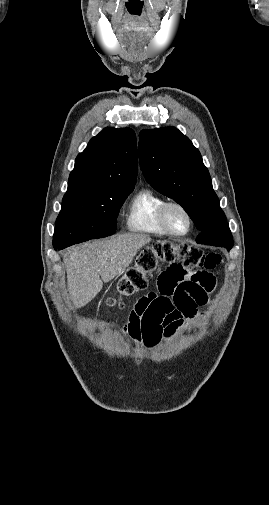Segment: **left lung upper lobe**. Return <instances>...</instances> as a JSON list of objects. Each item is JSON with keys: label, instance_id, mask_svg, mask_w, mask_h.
Listing matches in <instances>:
<instances>
[{"label": "left lung upper lobe", "instance_id": "1", "mask_svg": "<svg viewBox=\"0 0 269 505\" xmlns=\"http://www.w3.org/2000/svg\"><path fill=\"white\" fill-rule=\"evenodd\" d=\"M138 148L146 180L180 204L201 231L196 242L232 248V234L210 174L189 138L175 127L143 130Z\"/></svg>", "mask_w": 269, "mask_h": 505}]
</instances>
